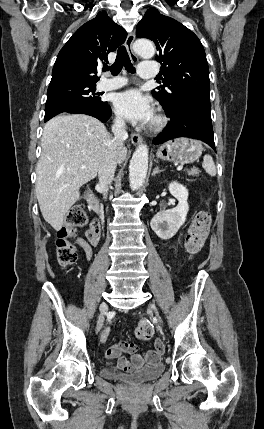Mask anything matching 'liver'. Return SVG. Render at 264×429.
I'll use <instances>...</instances> for the list:
<instances>
[{
    "mask_svg": "<svg viewBox=\"0 0 264 429\" xmlns=\"http://www.w3.org/2000/svg\"><path fill=\"white\" fill-rule=\"evenodd\" d=\"M110 141L104 124L89 115H59L44 126L35 190L42 216L55 230L79 199L80 187L96 177ZM126 157L123 146L117 162Z\"/></svg>",
    "mask_w": 264,
    "mask_h": 429,
    "instance_id": "1",
    "label": "liver"
}]
</instances>
